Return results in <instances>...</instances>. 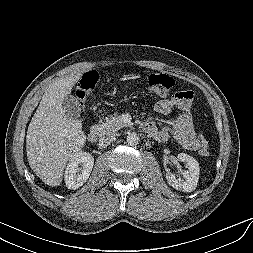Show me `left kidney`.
I'll list each match as a JSON object with an SVG mask.
<instances>
[{
  "mask_svg": "<svg viewBox=\"0 0 253 253\" xmlns=\"http://www.w3.org/2000/svg\"><path fill=\"white\" fill-rule=\"evenodd\" d=\"M178 160L184 162L187 170L183 171V178H176L171 172L166 173V179L169 185L179 191L192 192L196 189L199 180V163L192 156L179 153Z\"/></svg>",
  "mask_w": 253,
  "mask_h": 253,
  "instance_id": "1",
  "label": "left kidney"
}]
</instances>
